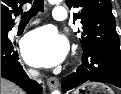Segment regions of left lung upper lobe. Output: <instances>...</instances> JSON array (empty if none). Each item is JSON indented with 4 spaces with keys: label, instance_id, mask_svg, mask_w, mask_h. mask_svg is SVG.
<instances>
[{
    "label": "left lung upper lobe",
    "instance_id": "5c2ea615",
    "mask_svg": "<svg viewBox=\"0 0 121 94\" xmlns=\"http://www.w3.org/2000/svg\"><path fill=\"white\" fill-rule=\"evenodd\" d=\"M66 5L79 8L74 21L82 24L80 42L83 50L90 48L120 49V40L115 28L110 0H66Z\"/></svg>",
    "mask_w": 121,
    "mask_h": 94
}]
</instances>
